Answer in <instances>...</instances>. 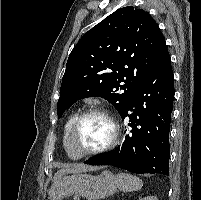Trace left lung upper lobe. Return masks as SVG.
<instances>
[{
	"label": "left lung upper lobe",
	"mask_w": 201,
	"mask_h": 200,
	"mask_svg": "<svg viewBox=\"0 0 201 200\" xmlns=\"http://www.w3.org/2000/svg\"><path fill=\"white\" fill-rule=\"evenodd\" d=\"M166 52L164 36L148 12L133 6L118 9L89 30L70 53L58 118L87 97L108 100L121 115Z\"/></svg>",
	"instance_id": "obj_1"
}]
</instances>
